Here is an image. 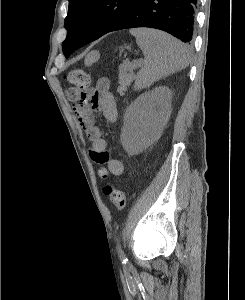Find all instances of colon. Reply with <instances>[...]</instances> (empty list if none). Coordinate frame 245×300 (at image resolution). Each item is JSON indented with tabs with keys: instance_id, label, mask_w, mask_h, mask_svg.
Wrapping results in <instances>:
<instances>
[{
	"instance_id": "colon-1",
	"label": "colon",
	"mask_w": 245,
	"mask_h": 300,
	"mask_svg": "<svg viewBox=\"0 0 245 300\" xmlns=\"http://www.w3.org/2000/svg\"><path fill=\"white\" fill-rule=\"evenodd\" d=\"M70 87L66 90L68 100L76 102L90 84V76L82 69H74L66 76ZM104 193L110 198L117 210H122L126 206V197L122 190L116 188L111 183L104 186Z\"/></svg>"
}]
</instances>
